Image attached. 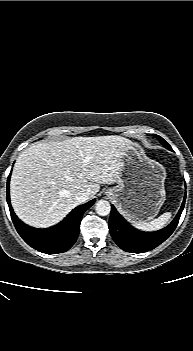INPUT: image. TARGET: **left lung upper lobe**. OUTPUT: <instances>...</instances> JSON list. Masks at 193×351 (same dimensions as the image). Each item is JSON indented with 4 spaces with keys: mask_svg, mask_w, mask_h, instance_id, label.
I'll use <instances>...</instances> for the list:
<instances>
[{
    "mask_svg": "<svg viewBox=\"0 0 193 351\" xmlns=\"http://www.w3.org/2000/svg\"><path fill=\"white\" fill-rule=\"evenodd\" d=\"M155 137L160 141V143H161L164 147H166V148L169 149V150H172L171 147H170V145H169L162 137H160L159 135H155Z\"/></svg>",
    "mask_w": 193,
    "mask_h": 351,
    "instance_id": "left-lung-upper-lobe-1",
    "label": "left lung upper lobe"
}]
</instances>
